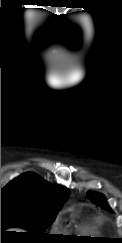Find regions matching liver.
<instances>
[{
    "label": "liver",
    "mask_w": 122,
    "mask_h": 243,
    "mask_svg": "<svg viewBox=\"0 0 122 243\" xmlns=\"http://www.w3.org/2000/svg\"><path fill=\"white\" fill-rule=\"evenodd\" d=\"M12 231L23 232L20 229H13Z\"/></svg>",
    "instance_id": "obj_1"
}]
</instances>
